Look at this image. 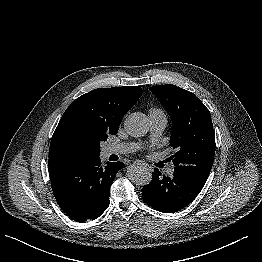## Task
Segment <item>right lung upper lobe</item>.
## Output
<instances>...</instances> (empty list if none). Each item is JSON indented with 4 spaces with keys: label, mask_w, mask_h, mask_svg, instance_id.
I'll use <instances>...</instances> for the list:
<instances>
[{
    "label": "right lung upper lobe",
    "mask_w": 262,
    "mask_h": 262,
    "mask_svg": "<svg viewBox=\"0 0 262 262\" xmlns=\"http://www.w3.org/2000/svg\"><path fill=\"white\" fill-rule=\"evenodd\" d=\"M142 94L139 86L99 88L74 100L64 112L52 136L49 161L79 158L67 146L68 137L80 125L88 124L117 133L123 116Z\"/></svg>",
    "instance_id": "1"
}]
</instances>
